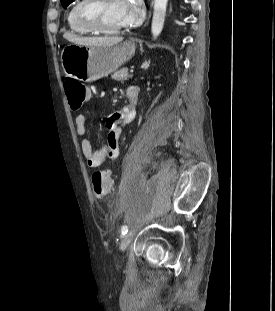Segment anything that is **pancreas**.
Wrapping results in <instances>:
<instances>
[{
  "label": "pancreas",
  "mask_w": 275,
  "mask_h": 311,
  "mask_svg": "<svg viewBox=\"0 0 275 311\" xmlns=\"http://www.w3.org/2000/svg\"><path fill=\"white\" fill-rule=\"evenodd\" d=\"M111 77L116 81H125L130 78L131 75L128 74V70L126 68H123L116 71L114 74L111 75Z\"/></svg>",
  "instance_id": "pancreas-1"
}]
</instances>
